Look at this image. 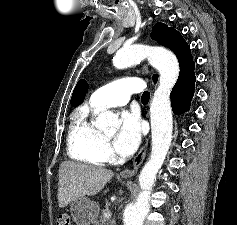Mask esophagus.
I'll return each instance as SVG.
<instances>
[{"label":"esophagus","mask_w":237,"mask_h":225,"mask_svg":"<svg viewBox=\"0 0 237 225\" xmlns=\"http://www.w3.org/2000/svg\"><path fill=\"white\" fill-rule=\"evenodd\" d=\"M147 147H148V139L145 140V142L142 144L141 148L139 149L137 155L135 156L133 163H132V168H127L124 169L121 173L120 176L124 178L132 177L139 169L141 164L143 163L146 153H147Z\"/></svg>","instance_id":"1"}]
</instances>
